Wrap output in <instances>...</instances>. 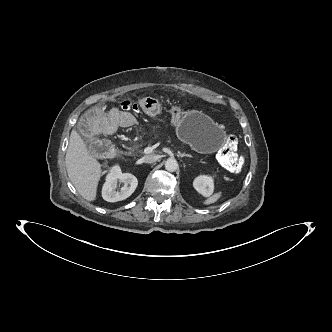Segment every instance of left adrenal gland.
Masks as SVG:
<instances>
[{"mask_svg": "<svg viewBox=\"0 0 332 332\" xmlns=\"http://www.w3.org/2000/svg\"><path fill=\"white\" fill-rule=\"evenodd\" d=\"M179 156L180 157H190V158H192V155L184 154V153H179Z\"/></svg>", "mask_w": 332, "mask_h": 332, "instance_id": "obj_1", "label": "left adrenal gland"}]
</instances>
